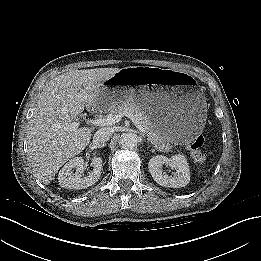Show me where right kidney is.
<instances>
[{"label":"right kidney","mask_w":261,"mask_h":261,"mask_svg":"<svg viewBox=\"0 0 261 261\" xmlns=\"http://www.w3.org/2000/svg\"><path fill=\"white\" fill-rule=\"evenodd\" d=\"M91 165L93 167L92 172L84 176V159L75 157L69 160L59 171L60 186L67 189H84L93 186L101 176L102 159L100 157L92 158ZM73 169H75V172L72 171Z\"/></svg>","instance_id":"ca27d5eb"}]
</instances>
